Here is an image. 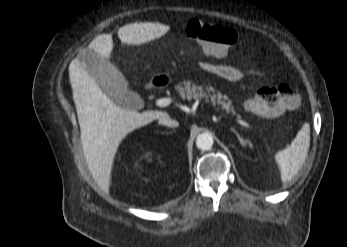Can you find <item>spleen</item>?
Returning a JSON list of instances; mask_svg holds the SVG:
<instances>
[{
  "label": "spleen",
  "instance_id": "3e777b00",
  "mask_svg": "<svg viewBox=\"0 0 347 247\" xmlns=\"http://www.w3.org/2000/svg\"><path fill=\"white\" fill-rule=\"evenodd\" d=\"M310 146V127L305 123L292 143L275 154V160L281 171L283 183L289 182L300 170Z\"/></svg>",
  "mask_w": 347,
  "mask_h": 247
}]
</instances>
